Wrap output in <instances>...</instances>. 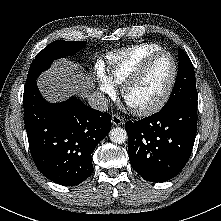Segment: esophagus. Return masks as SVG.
<instances>
[{
    "mask_svg": "<svg viewBox=\"0 0 221 221\" xmlns=\"http://www.w3.org/2000/svg\"><path fill=\"white\" fill-rule=\"evenodd\" d=\"M111 119L112 123L116 126L122 125L124 123V120L116 114H113Z\"/></svg>",
    "mask_w": 221,
    "mask_h": 221,
    "instance_id": "34e87169",
    "label": "esophagus"
}]
</instances>
